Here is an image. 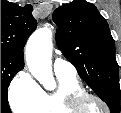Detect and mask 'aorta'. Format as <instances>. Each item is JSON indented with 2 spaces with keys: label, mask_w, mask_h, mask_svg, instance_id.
Here are the masks:
<instances>
[{
  "label": "aorta",
  "mask_w": 121,
  "mask_h": 113,
  "mask_svg": "<svg viewBox=\"0 0 121 113\" xmlns=\"http://www.w3.org/2000/svg\"><path fill=\"white\" fill-rule=\"evenodd\" d=\"M52 32L48 28L37 29L26 45V62L29 71L46 88L55 85L52 74Z\"/></svg>",
  "instance_id": "aorta-1"
}]
</instances>
